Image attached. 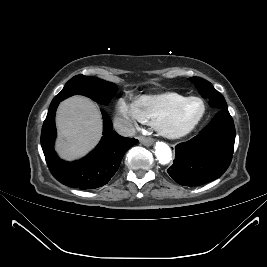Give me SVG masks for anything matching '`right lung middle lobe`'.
Returning <instances> with one entry per match:
<instances>
[{"mask_svg":"<svg viewBox=\"0 0 267 267\" xmlns=\"http://www.w3.org/2000/svg\"><path fill=\"white\" fill-rule=\"evenodd\" d=\"M117 87L115 84L92 77L77 75L71 78L52 102H60L72 95L82 94L101 104L109 103Z\"/></svg>","mask_w":267,"mask_h":267,"instance_id":"dd1d6c3e","label":"right lung middle lobe"}]
</instances>
